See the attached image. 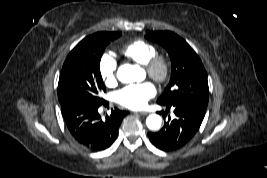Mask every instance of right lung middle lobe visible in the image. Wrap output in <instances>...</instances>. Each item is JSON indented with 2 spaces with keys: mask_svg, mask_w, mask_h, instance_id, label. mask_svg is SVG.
Masks as SVG:
<instances>
[{
  "mask_svg": "<svg viewBox=\"0 0 267 178\" xmlns=\"http://www.w3.org/2000/svg\"><path fill=\"white\" fill-rule=\"evenodd\" d=\"M120 32H99L84 38L67 56L58 83V99L73 97L100 102L106 91L100 73V60L105 47Z\"/></svg>",
  "mask_w": 267,
  "mask_h": 178,
  "instance_id": "dd1d6c3e",
  "label": "right lung middle lobe"
}]
</instances>
